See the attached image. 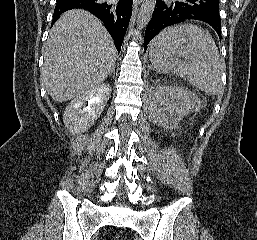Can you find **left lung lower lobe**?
I'll return each mask as SVG.
<instances>
[{"label":"left lung lower lobe","instance_id":"left-lung-lower-lobe-1","mask_svg":"<svg viewBox=\"0 0 257 240\" xmlns=\"http://www.w3.org/2000/svg\"><path fill=\"white\" fill-rule=\"evenodd\" d=\"M188 20L202 21L212 27L221 39L219 0H156L145 36L144 49L164 28Z\"/></svg>","mask_w":257,"mask_h":240}]
</instances>
